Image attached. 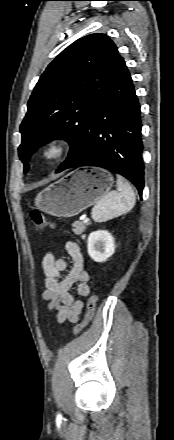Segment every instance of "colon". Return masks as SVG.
Returning a JSON list of instances; mask_svg holds the SVG:
<instances>
[{
    "label": "colon",
    "instance_id": "colon-1",
    "mask_svg": "<svg viewBox=\"0 0 174 440\" xmlns=\"http://www.w3.org/2000/svg\"><path fill=\"white\" fill-rule=\"evenodd\" d=\"M30 218L33 223V225L38 229L42 230L44 228H52L54 224L52 221L43 213L37 210H33L30 213ZM96 301H97V294L93 293L89 296L87 300V311L85 314L84 320L75 328L74 334L78 335L80 334L92 321L96 309Z\"/></svg>",
    "mask_w": 174,
    "mask_h": 440
}]
</instances>
